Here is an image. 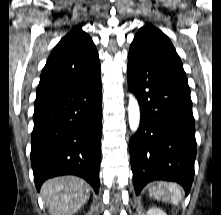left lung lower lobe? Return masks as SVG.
Segmentation results:
<instances>
[{"mask_svg":"<svg viewBox=\"0 0 221 215\" xmlns=\"http://www.w3.org/2000/svg\"><path fill=\"white\" fill-rule=\"evenodd\" d=\"M128 85L141 123L130 140L136 194L153 180L175 181L190 192L196 157L195 121L183 66L128 55Z\"/></svg>","mask_w":221,"mask_h":215,"instance_id":"left-lung-lower-lobe-1","label":"left lung lower lobe"}]
</instances>
